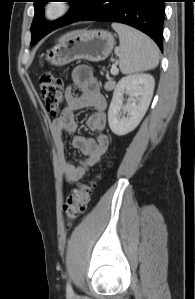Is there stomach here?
I'll return each mask as SVG.
<instances>
[{
	"instance_id": "1",
	"label": "stomach",
	"mask_w": 195,
	"mask_h": 299,
	"mask_svg": "<svg viewBox=\"0 0 195 299\" xmlns=\"http://www.w3.org/2000/svg\"><path fill=\"white\" fill-rule=\"evenodd\" d=\"M115 45L112 33L102 29L78 30L64 35L47 51L46 60L55 66L84 59L91 62L105 60Z\"/></svg>"
}]
</instances>
